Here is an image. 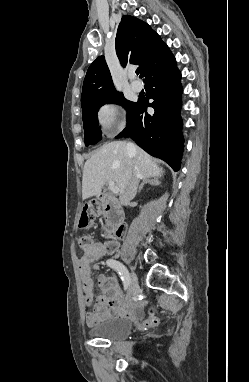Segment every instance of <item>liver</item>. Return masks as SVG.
Returning <instances> with one entry per match:
<instances>
[{
    "label": "liver",
    "mask_w": 249,
    "mask_h": 382,
    "mask_svg": "<svg viewBox=\"0 0 249 382\" xmlns=\"http://www.w3.org/2000/svg\"><path fill=\"white\" fill-rule=\"evenodd\" d=\"M128 149L125 141H112L103 145L84 165L82 177V198L99 195L102 187L114 182L122 194L137 168L140 179L161 177L163 168L159 167L143 149L134 146Z\"/></svg>",
    "instance_id": "6515ba94"
}]
</instances>
